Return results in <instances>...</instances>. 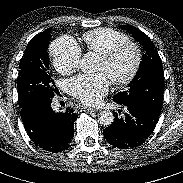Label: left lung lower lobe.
Returning <instances> with one entry per match:
<instances>
[{
  "mask_svg": "<svg viewBox=\"0 0 183 183\" xmlns=\"http://www.w3.org/2000/svg\"><path fill=\"white\" fill-rule=\"evenodd\" d=\"M123 105L128 110L125 116L119 118L114 113V122L103 134L112 146L126 150L141 145L151 135L159 115L135 103Z\"/></svg>",
  "mask_w": 183,
  "mask_h": 183,
  "instance_id": "0a47b994",
  "label": "left lung lower lobe"
}]
</instances>
